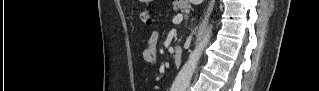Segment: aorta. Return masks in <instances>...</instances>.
I'll list each match as a JSON object with an SVG mask.
<instances>
[{
    "instance_id": "1",
    "label": "aorta",
    "mask_w": 319,
    "mask_h": 91,
    "mask_svg": "<svg viewBox=\"0 0 319 91\" xmlns=\"http://www.w3.org/2000/svg\"><path fill=\"white\" fill-rule=\"evenodd\" d=\"M211 36H212V26L210 25L203 39L198 43L195 49L191 52L187 62L179 71L173 83V89L175 91H186V89L190 85V81L195 72L198 61L203 53V50L208 45Z\"/></svg>"
}]
</instances>
